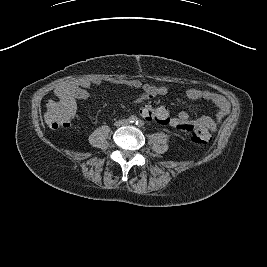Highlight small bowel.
I'll return each instance as SVG.
<instances>
[{"mask_svg":"<svg viewBox=\"0 0 267 267\" xmlns=\"http://www.w3.org/2000/svg\"><path fill=\"white\" fill-rule=\"evenodd\" d=\"M143 90L149 98L164 95L166 93V89L163 87L157 88L152 86H144ZM185 96L188 100L191 101L198 100L202 97L212 100L217 108L218 121H220L227 112L226 103L221 97L208 93H202L195 89L186 91ZM139 112L141 116L147 121H154L159 125L170 126L181 130H198L200 132L209 133L210 131H214L216 128V122L210 117L202 116L195 121H189L188 114L183 111L180 112L177 117H171L167 108L163 106L154 108L152 106L146 105L145 107H142Z\"/></svg>","mask_w":267,"mask_h":267,"instance_id":"obj_1","label":"small bowel"}]
</instances>
